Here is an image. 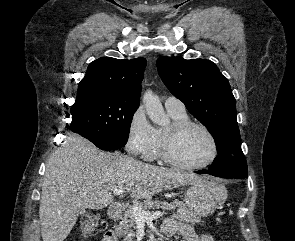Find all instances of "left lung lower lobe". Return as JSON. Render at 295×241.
I'll use <instances>...</instances> for the list:
<instances>
[{
  "mask_svg": "<svg viewBox=\"0 0 295 241\" xmlns=\"http://www.w3.org/2000/svg\"><path fill=\"white\" fill-rule=\"evenodd\" d=\"M196 173H198V174H209V175H213V176H217V177H222V178H238L236 176H227V175L221 174L219 172H216V171H213V170H210V169H207V170H199ZM239 179H242V178H239Z\"/></svg>",
  "mask_w": 295,
  "mask_h": 241,
  "instance_id": "left-lung-lower-lobe-1",
  "label": "left lung lower lobe"
}]
</instances>
